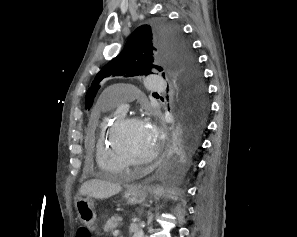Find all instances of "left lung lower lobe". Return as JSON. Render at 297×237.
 I'll list each match as a JSON object with an SVG mask.
<instances>
[{"instance_id": "left-lung-lower-lobe-1", "label": "left lung lower lobe", "mask_w": 297, "mask_h": 237, "mask_svg": "<svg viewBox=\"0 0 297 237\" xmlns=\"http://www.w3.org/2000/svg\"><path fill=\"white\" fill-rule=\"evenodd\" d=\"M176 107L182 127L172 139L170 165L185 161L199 145L201 133L206 125L208 105H197L185 94L178 92Z\"/></svg>"}]
</instances>
